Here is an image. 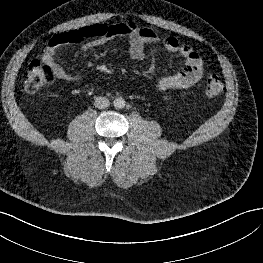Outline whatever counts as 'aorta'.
Returning a JSON list of instances; mask_svg holds the SVG:
<instances>
[{"label":"aorta","instance_id":"obj_1","mask_svg":"<svg viewBox=\"0 0 263 263\" xmlns=\"http://www.w3.org/2000/svg\"><path fill=\"white\" fill-rule=\"evenodd\" d=\"M113 103H114V107L117 108V109H122L125 106V100L123 98H121V97L116 98L113 101Z\"/></svg>","mask_w":263,"mask_h":263}]
</instances>
